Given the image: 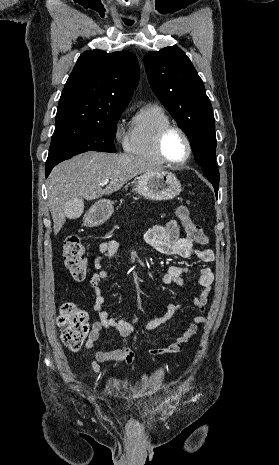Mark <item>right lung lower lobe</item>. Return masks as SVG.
Instances as JSON below:
<instances>
[{
    "label": "right lung lower lobe",
    "mask_w": 279,
    "mask_h": 465,
    "mask_svg": "<svg viewBox=\"0 0 279 465\" xmlns=\"http://www.w3.org/2000/svg\"><path fill=\"white\" fill-rule=\"evenodd\" d=\"M55 165L45 167V176L47 177Z\"/></svg>",
    "instance_id": "98d812e1"
}]
</instances>
